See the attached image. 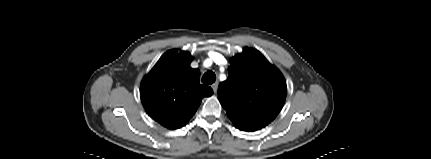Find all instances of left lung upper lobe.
<instances>
[{"label": "left lung upper lobe", "mask_w": 431, "mask_h": 159, "mask_svg": "<svg viewBox=\"0 0 431 159\" xmlns=\"http://www.w3.org/2000/svg\"><path fill=\"white\" fill-rule=\"evenodd\" d=\"M228 70V80L219 84L218 96L234 125L255 131L273 121L287 93L281 72L252 48L233 57Z\"/></svg>", "instance_id": "left-lung-upper-lobe-1"}]
</instances>
